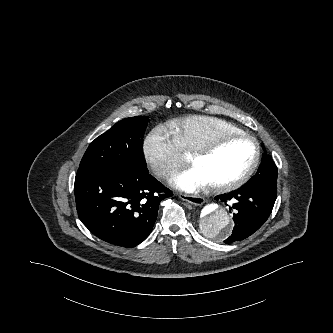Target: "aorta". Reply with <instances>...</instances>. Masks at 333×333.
I'll list each match as a JSON object with an SVG mask.
<instances>
[{
    "mask_svg": "<svg viewBox=\"0 0 333 333\" xmlns=\"http://www.w3.org/2000/svg\"><path fill=\"white\" fill-rule=\"evenodd\" d=\"M198 225L204 235L223 238L230 232L232 220L225 206L214 201L202 208L198 215Z\"/></svg>",
    "mask_w": 333,
    "mask_h": 333,
    "instance_id": "1",
    "label": "aorta"
}]
</instances>
